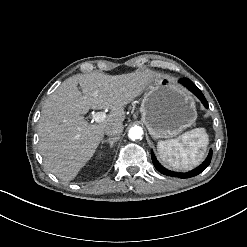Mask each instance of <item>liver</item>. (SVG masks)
<instances>
[{
  "label": "liver",
  "mask_w": 247,
  "mask_h": 247,
  "mask_svg": "<svg viewBox=\"0 0 247 247\" xmlns=\"http://www.w3.org/2000/svg\"><path fill=\"white\" fill-rule=\"evenodd\" d=\"M158 77L160 74L146 69L114 76L77 74L65 80L44 102L38 121L44 166L64 181L73 179L93 155L106 126L121 122L123 106ZM89 108L111 109V114L99 124H89L81 117Z\"/></svg>",
  "instance_id": "liver-1"
}]
</instances>
